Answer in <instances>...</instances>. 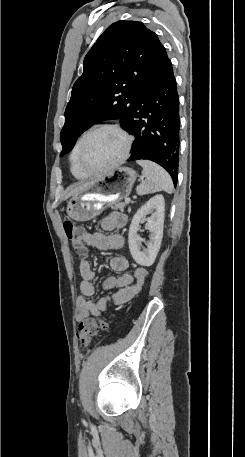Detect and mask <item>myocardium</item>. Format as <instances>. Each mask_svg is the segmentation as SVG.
<instances>
[{"label": "myocardium", "mask_w": 245, "mask_h": 457, "mask_svg": "<svg viewBox=\"0 0 245 457\" xmlns=\"http://www.w3.org/2000/svg\"><path fill=\"white\" fill-rule=\"evenodd\" d=\"M102 130H111V131L117 133L118 135H120L124 141L123 150H122L121 154L117 157V159L109 166H106L99 170L91 171L88 168H86V166L82 162V152H83L88 140L90 139V137L93 136L95 133L102 131ZM131 146H132L131 136L120 126H118L117 124H111V123L99 124V125H96L93 128H91L85 134V136L78 148V151H77V164L85 175L96 176L101 173L110 171V170L116 168L119 164H121L129 156Z\"/></svg>", "instance_id": "myocardium-1"}]
</instances>
